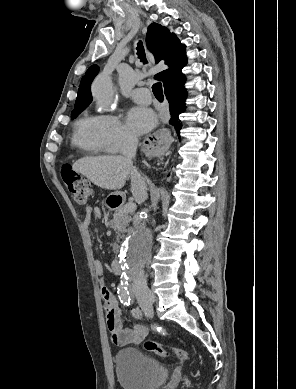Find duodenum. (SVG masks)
Returning a JSON list of instances; mask_svg holds the SVG:
<instances>
[{"mask_svg": "<svg viewBox=\"0 0 296 389\" xmlns=\"http://www.w3.org/2000/svg\"><path fill=\"white\" fill-rule=\"evenodd\" d=\"M120 202H121L120 200H114V201L110 202V206L112 208H115V207L119 206ZM111 269H112V272L116 275H120L122 273L121 264L117 260L112 261Z\"/></svg>", "mask_w": 296, "mask_h": 389, "instance_id": "1", "label": "duodenum"}]
</instances>
